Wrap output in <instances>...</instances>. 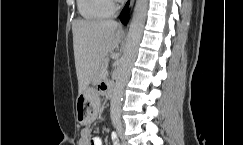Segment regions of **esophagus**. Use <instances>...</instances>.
I'll return each instance as SVG.
<instances>
[{
    "label": "esophagus",
    "instance_id": "obj_1",
    "mask_svg": "<svg viewBox=\"0 0 243 145\" xmlns=\"http://www.w3.org/2000/svg\"><path fill=\"white\" fill-rule=\"evenodd\" d=\"M133 3H134V0H131V1H130V4H129V8H131V7H132ZM123 27H124V25H123V24H121V28H123Z\"/></svg>",
    "mask_w": 243,
    "mask_h": 145
}]
</instances>
